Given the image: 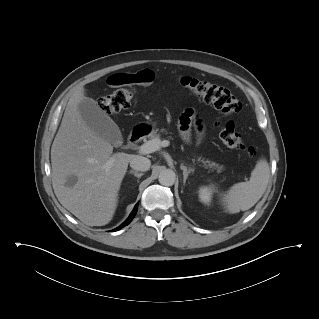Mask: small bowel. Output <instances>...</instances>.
<instances>
[{
    "instance_id": "small-bowel-1",
    "label": "small bowel",
    "mask_w": 319,
    "mask_h": 319,
    "mask_svg": "<svg viewBox=\"0 0 319 319\" xmlns=\"http://www.w3.org/2000/svg\"><path fill=\"white\" fill-rule=\"evenodd\" d=\"M136 75L142 78L146 84H150L154 80V73L149 69L138 72ZM192 126H195L197 130H201L203 126L202 121L196 117L193 110H186L179 120V128L185 140H189V131Z\"/></svg>"
}]
</instances>
